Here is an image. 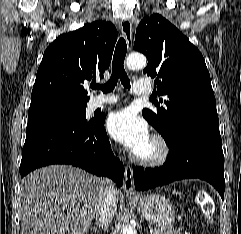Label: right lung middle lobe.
Masks as SVG:
<instances>
[{"mask_svg":"<svg viewBox=\"0 0 241 234\" xmlns=\"http://www.w3.org/2000/svg\"><path fill=\"white\" fill-rule=\"evenodd\" d=\"M87 104L66 101H47L30 105L28 125L45 121L88 123L85 115Z\"/></svg>","mask_w":241,"mask_h":234,"instance_id":"right-lung-middle-lobe-1","label":"right lung middle lobe"}]
</instances>
